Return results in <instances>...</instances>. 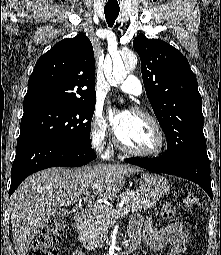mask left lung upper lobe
<instances>
[{
	"instance_id": "obj_1",
	"label": "left lung upper lobe",
	"mask_w": 221,
	"mask_h": 255,
	"mask_svg": "<svg viewBox=\"0 0 221 255\" xmlns=\"http://www.w3.org/2000/svg\"><path fill=\"white\" fill-rule=\"evenodd\" d=\"M133 48L141 59L148 99L166 136L170 160L206 150L202 98L187 59L170 44L138 35Z\"/></svg>"
}]
</instances>
